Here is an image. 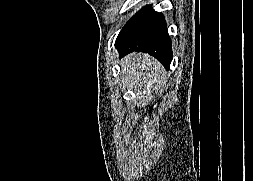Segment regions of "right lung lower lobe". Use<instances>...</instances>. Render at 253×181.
Wrapping results in <instances>:
<instances>
[{"mask_svg":"<svg viewBox=\"0 0 253 181\" xmlns=\"http://www.w3.org/2000/svg\"><path fill=\"white\" fill-rule=\"evenodd\" d=\"M115 46L120 57L133 51L149 53L167 69L173 57L164 17L150 6L142 8L126 23Z\"/></svg>","mask_w":253,"mask_h":181,"instance_id":"right-lung-lower-lobe-1","label":"right lung lower lobe"}]
</instances>
